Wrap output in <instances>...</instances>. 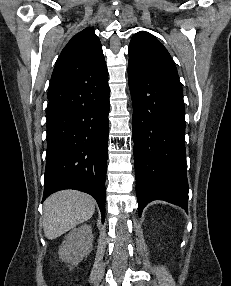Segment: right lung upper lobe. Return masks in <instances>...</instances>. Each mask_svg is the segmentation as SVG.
<instances>
[{
  "label": "right lung upper lobe",
  "mask_w": 231,
  "mask_h": 286,
  "mask_svg": "<svg viewBox=\"0 0 231 286\" xmlns=\"http://www.w3.org/2000/svg\"><path fill=\"white\" fill-rule=\"evenodd\" d=\"M107 72L102 46L94 29L86 28L73 36L54 67L48 99L61 96L80 82Z\"/></svg>",
  "instance_id": "1"
}]
</instances>
